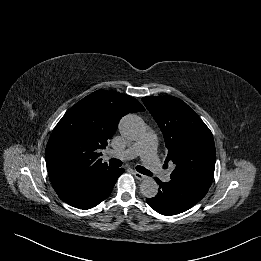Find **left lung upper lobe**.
<instances>
[{"instance_id": "left-lung-upper-lobe-1", "label": "left lung upper lobe", "mask_w": 261, "mask_h": 261, "mask_svg": "<svg viewBox=\"0 0 261 261\" xmlns=\"http://www.w3.org/2000/svg\"><path fill=\"white\" fill-rule=\"evenodd\" d=\"M142 101L159 125L168 154L176 167L171 179L211 186L216 151L213 136L201 118L176 97H144Z\"/></svg>"}]
</instances>
